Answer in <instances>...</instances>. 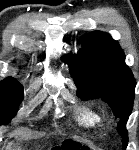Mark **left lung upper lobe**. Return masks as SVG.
<instances>
[{
  "label": "left lung upper lobe",
  "instance_id": "obj_1",
  "mask_svg": "<svg viewBox=\"0 0 139 150\" xmlns=\"http://www.w3.org/2000/svg\"><path fill=\"white\" fill-rule=\"evenodd\" d=\"M64 61L78 86V95L84 99L101 98L120 119L118 132L126 148L125 125L132 111L136 81L119 44L109 34L94 31L83 37V48Z\"/></svg>",
  "mask_w": 139,
  "mask_h": 150
}]
</instances>
